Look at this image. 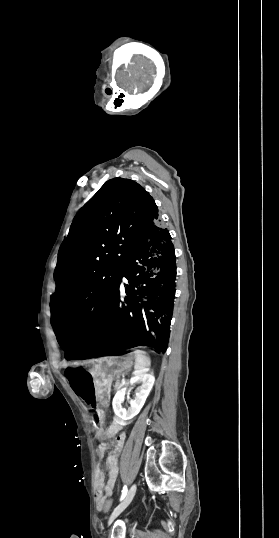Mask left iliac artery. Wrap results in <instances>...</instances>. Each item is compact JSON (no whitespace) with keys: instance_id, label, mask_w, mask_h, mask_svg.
Returning <instances> with one entry per match:
<instances>
[{"instance_id":"44dca946","label":"left iliac artery","mask_w":279,"mask_h":538,"mask_svg":"<svg viewBox=\"0 0 279 538\" xmlns=\"http://www.w3.org/2000/svg\"><path fill=\"white\" fill-rule=\"evenodd\" d=\"M126 494H127V486H124L123 489H122V494H121L120 500H123L124 497L126 496Z\"/></svg>"}]
</instances>
